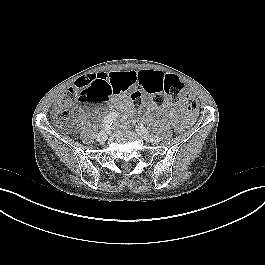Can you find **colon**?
<instances>
[{
    "instance_id": "obj_1",
    "label": "colon",
    "mask_w": 265,
    "mask_h": 265,
    "mask_svg": "<svg viewBox=\"0 0 265 265\" xmlns=\"http://www.w3.org/2000/svg\"><path fill=\"white\" fill-rule=\"evenodd\" d=\"M152 102L156 106H163L167 100L178 104L184 96V108L188 112H195L199 108L197 98L184 93V85L180 79L172 74H167L163 82L155 89L149 91ZM112 94V89L107 85L103 77L85 76L80 78L74 87L69 88L57 105L55 116L58 121L66 122L70 117V106L76 99L81 101L106 100ZM131 101L135 107H139L143 101L140 91L131 94Z\"/></svg>"
}]
</instances>
